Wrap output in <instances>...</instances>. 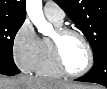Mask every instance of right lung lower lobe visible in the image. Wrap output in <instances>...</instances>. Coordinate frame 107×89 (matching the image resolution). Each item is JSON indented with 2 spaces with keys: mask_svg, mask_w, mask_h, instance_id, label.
Returning <instances> with one entry per match:
<instances>
[{
  "mask_svg": "<svg viewBox=\"0 0 107 89\" xmlns=\"http://www.w3.org/2000/svg\"><path fill=\"white\" fill-rule=\"evenodd\" d=\"M20 71L18 69L16 70H7V69H1L0 68V74L8 75V76H13L19 73Z\"/></svg>",
  "mask_w": 107,
  "mask_h": 89,
  "instance_id": "obj_1",
  "label": "right lung lower lobe"
}]
</instances>
